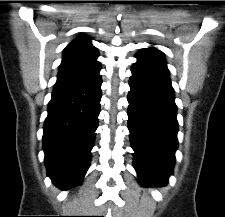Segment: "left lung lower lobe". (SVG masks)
<instances>
[{"mask_svg":"<svg viewBox=\"0 0 225 217\" xmlns=\"http://www.w3.org/2000/svg\"><path fill=\"white\" fill-rule=\"evenodd\" d=\"M128 93V128L140 182L166 185L177 149V108L166 65L135 63Z\"/></svg>","mask_w":225,"mask_h":217,"instance_id":"1","label":"left lung lower lobe"}]
</instances>
